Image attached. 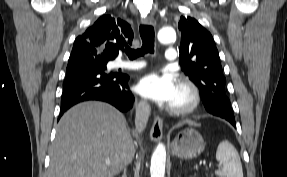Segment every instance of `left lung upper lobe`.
Masks as SVG:
<instances>
[{
    "instance_id": "1",
    "label": "left lung upper lobe",
    "mask_w": 287,
    "mask_h": 177,
    "mask_svg": "<svg viewBox=\"0 0 287 177\" xmlns=\"http://www.w3.org/2000/svg\"><path fill=\"white\" fill-rule=\"evenodd\" d=\"M181 31L179 48L180 65L189 79L198 86L205 108L213 98L225 92L226 79L220 64V57L212 35L191 17H180ZM228 113L233 114L228 99L225 104Z\"/></svg>"
}]
</instances>
